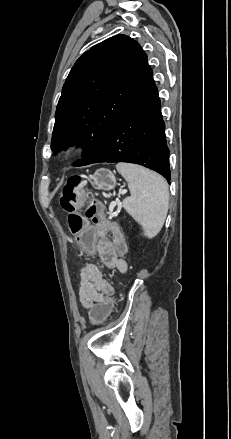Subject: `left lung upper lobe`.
<instances>
[{
  "mask_svg": "<svg viewBox=\"0 0 231 439\" xmlns=\"http://www.w3.org/2000/svg\"><path fill=\"white\" fill-rule=\"evenodd\" d=\"M149 70L140 45L125 35L108 38L86 51L62 89L51 140L53 153L78 143L84 147V158L73 165H88Z\"/></svg>",
  "mask_w": 231,
  "mask_h": 439,
  "instance_id": "5c2ea615",
  "label": "left lung upper lobe"
}]
</instances>
